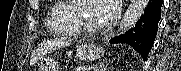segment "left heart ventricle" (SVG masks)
<instances>
[{
    "label": "left heart ventricle",
    "mask_w": 181,
    "mask_h": 71,
    "mask_svg": "<svg viewBox=\"0 0 181 71\" xmlns=\"http://www.w3.org/2000/svg\"><path fill=\"white\" fill-rule=\"evenodd\" d=\"M103 1H88L82 3L84 7L83 15L84 19L92 25H101L103 22L101 21V13L103 8Z\"/></svg>",
    "instance_id": "1"
}]
</instances>
